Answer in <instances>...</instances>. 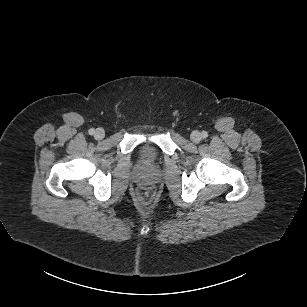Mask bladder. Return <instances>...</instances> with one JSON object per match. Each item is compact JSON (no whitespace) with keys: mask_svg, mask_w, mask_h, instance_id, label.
Here are the masks:
<instances>
[{"mask_svg":"<svg viewBox=\"0 0 307 307\" xmlns=\"http://www.w3.org/2000/svg\"><path fill=\"white\" fill-rule=\"evenodd\" d=\"M141 157L145 162L151 163L156 159V153L152 148L146 147L141 151Z\"/></svg>","mask_w":307,"mask_h":307,"instance_id":"obj_1","label":"bladder"}]
</instances>
